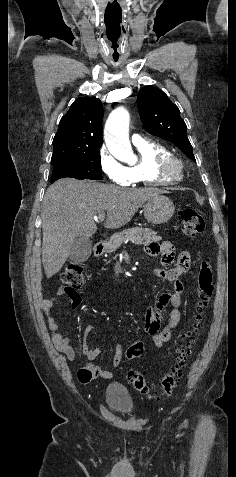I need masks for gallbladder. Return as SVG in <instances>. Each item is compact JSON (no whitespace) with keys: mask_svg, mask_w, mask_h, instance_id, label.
<instances>
[{"mask_svg":"<svg viewBox=\"0 0 236 477\" xmlns=\"http://www.w3.org/2000/svg\"><path fill=\"white\" fill-rule=\"evenodd\" d=\"M92 252V241L89 238L78 237L70 247L69 259L76 263L86 261Z\"/></svg>","mask_w":236,"mask_h":477,"instance_id":"obj_1","label":"gallbladder"}]
</instances>
